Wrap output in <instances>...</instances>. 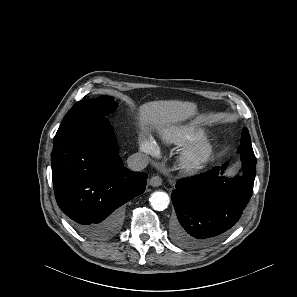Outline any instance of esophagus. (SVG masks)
Returning <instances> with one entry per match:
<instances>
[{"instance_id": "34e87169", "label": "esophagus", "mask_w": 297, "mask_h": 297, "mask_svg": "<svg viewBox=\"0 0 297 297\" xmlns=\"http://www.w3.org/2000/svg\"><path fill=\"white\" fill-rule=\"evenodd\" d=\"M162 184V178L158 175L152 176L149 180V185L158 187Z\"/></svg>"}]
</instances>
